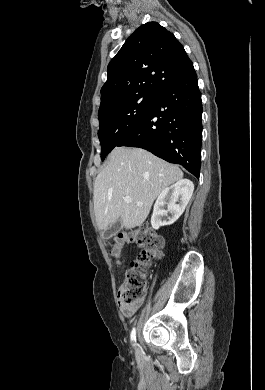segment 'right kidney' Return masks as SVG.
Returning <instances> with one entry per match:
<instances>
[{
  "mask_svg": "<svg viewBox=\"0 0 265 390\" xmlns=\"http://www.w3.org/2000/svg\"><path fill=\"white\" fill-rule=\"evenodd\" d=\"M193 190L194 185L188 179H182L164 189L154 204L151 217L152 227L158 230L161 226L171 225L176 222L184 212ZM166 204L167 210L164 209ZM168 213H170V216L167 215Z\"/></svg>",
  "mask_w": 265,
  "mask_h": 390,
  "instance_id": "obj_1",
  "label": "right kidney"
}]
</instances>
